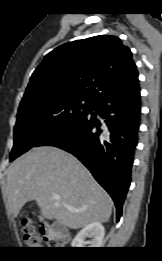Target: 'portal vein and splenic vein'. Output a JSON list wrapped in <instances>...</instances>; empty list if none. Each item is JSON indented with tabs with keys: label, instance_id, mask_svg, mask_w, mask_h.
<instances>
[{
	"label": "portal vein and splenic vein",
	"instance_id": "1",
	"mask_svg": "<svg viewBox=\"0 0 162 261\" xmlns=\"http://www.w3.org/2000/svg\"><path fill=\"white\" fill-rule=\"evenodd\" d=\"M53 198L55 199V200H60V196L58 195V194H54L53 195ZM70 209V208H69ZM70 210H72V209H70Z\"/></svg>",
	"mask_w": 162,
	"mask_h": 261
}]
</instances>
